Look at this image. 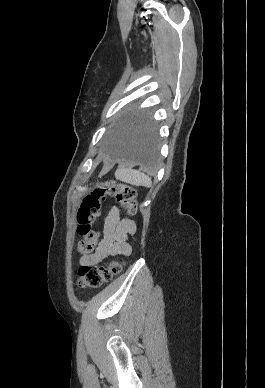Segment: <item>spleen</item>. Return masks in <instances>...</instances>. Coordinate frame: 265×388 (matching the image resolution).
Segmentation results:
<instances>
[{"label":"spleen","instance_id":"spleen-1","mask_svg":"<svg viewBox=\"0 0 265 388\" xmlns=\"http://www.w3.org/2000/svg\"><path fill=\"white\" fill-rule=\"evenodd\" d=\"M116 178L122 182H127V184H132V186H147V188L152 186L151 178L142 172H137V170H117Z\"/></svg>","mask_w":265,"mask_h":388}]
</instances>
